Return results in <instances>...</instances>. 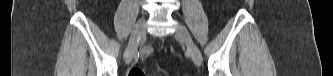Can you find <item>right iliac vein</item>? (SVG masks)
<instances>
[{
	"instance_id": "right-iliac-vein-1",
	"label": "right iliac vein",
	"mask_w": 333,
	"mask_h": 76,
	"mask_svg": "<svg viewBox=\"0 0 333 76\" xmlns=\"http://www.w3.org/2000/svg\"><path fill=\"white\" fill-rule=\"evenodd\" d=\"M145 23H146L145 18H141L136 23V25L133 29V32L131 34V37H130V40L128 43V47L125 51V63L126 64H129L133 59V56L136 52V48L138 46V42L141 39V37L143 36L144 31H145Z\"/></svg>"
}]
</instances>
